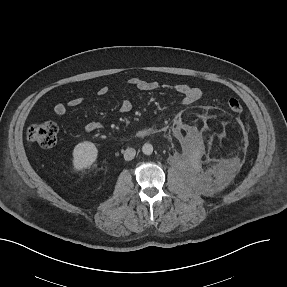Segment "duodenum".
<instances>
[{"label":"duodenum","instance_id":"410a0bca","mask_svg":"<svg viewBox=\"0 0 287 287\" xmlns=\"http://www.w3.org/2000/svg\"><path fill=\"white\" fill-rule=\"evenodd\" d=\"M148 134H149V132L146 131V130H144V131L139 132L138 136H139V137H145V136H147Z\"/></svg>","mask_w":287,"mask_h":287}]
</instances>
